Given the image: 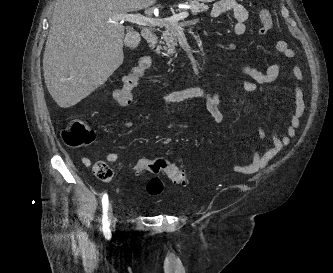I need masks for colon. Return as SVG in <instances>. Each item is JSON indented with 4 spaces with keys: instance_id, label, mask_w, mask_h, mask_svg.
<instances>
[{
    "instance_id": "colon-1",
    "label": "colon",
    "mask_w": 333,
    "mask_h": 273,
    "mask_svg": "<svg viewBox=\"0 0 333 273\" xmlns=\"http://www.w3.org/2000/svg\"><path fill=\"white\" fill-rule=\"evenodd\" d=\"M259 21L261 24V32H268L273 26L271 12L266 9L261 10L259 13ZM61 135L64 143L74 148L87 146L95 139V133L87 123L74 117L68 119ZM132 169L138 175L145 172L155 174L164 173L174 183L184 185L187 182V174L185 171L162 158H139L133 163ZM93 172L98 179L105 182L110 181L113 176L112 169L104 161H97L93 165ZM163 188V181L159 177H153L147 184V191L151 195L161 193Z\"/></svg>"
}]
</instances>
